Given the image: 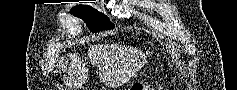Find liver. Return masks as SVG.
Returning <instances> with one entry per match:
<instances>
[{
    "instance_id": "liver-1",
    "label": "liver",
    "mask_w": 237,
    "mask_h": 90,
    "mask_svg": "<svg viewBox=\"0 0 237 90\" xmlns=\"http://www.w3.org/2000/svg\"><path fill=\"white\" fill-rule=\"evenodd\" d=\"M114 54V50L112 48H109V46H90L88 48L87 56L91 58V60H94V62H97L99 60L98 64H106V62H111L110 56ZM69 60L70 62H67V64H71V68L67 70V74L69 76V84L71 90H81V88H84L87 80H88V74L89 70L88 68H85L86 60H83V58H80V54H69ZM83 62H86V64H83Z\"/></svg>"
}]
</instances>
